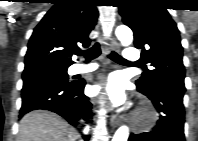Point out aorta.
Wrapping results in <instances>:
<instances>
[{"label":"aorta","instance_id":"1","mask_svg":"<svg viewBox=\"0 0 198 141\" xmlns=\"http://www.w3.org/2000/svg\"><path fill=\"white\" fill-rule=\"evenodd\" d=\"M116 36L122 46H129L133 41V33L127 26H118L116 28ZM129 137V128L127 126H121L115 132L112 141H127Z\"/></svg>","mask_w":198,"mask_h":141}]
</instances>
